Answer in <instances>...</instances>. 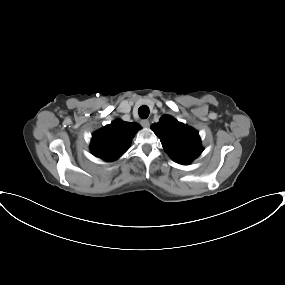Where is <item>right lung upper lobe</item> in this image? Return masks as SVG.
Instances as JSON below:
<instances>
[{"label": "right lung upper lobe", "mask_w": 285, "mask_h": 285, "mask_svg": "<svg viewBox=\"0 0 285 285\" xmlns=\"http://www.w3.org/2000/svg\"><path fill=\"white\" fill-rule=\"evenodd\" d=\"M140 129L137 123L115 120L93 134L90 150L96 157L114 161L129 149L133 136Z\"/></svg>", "instance_id": "right-lung-upper-lobe-1"}]
</instances>
